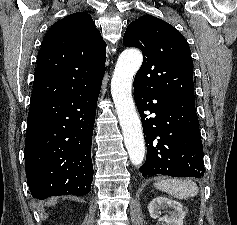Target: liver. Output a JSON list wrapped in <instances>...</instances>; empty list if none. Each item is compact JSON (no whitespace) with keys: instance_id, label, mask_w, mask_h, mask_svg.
<instances>
[{"instance_id":"liver-1","label":"liver","mask_w":237,"mask_h":225,"mask_svg":"<svg viewBox=\"0 0 237 225\" xmlns=\"http://www.w3.org/2000/svg\"><path fill=\"white\" fill-rule=\"evenodd\" d=\"M56 198H53L49 201L48 205H55L56 204Z\"/></svg>"}]
</instances>
